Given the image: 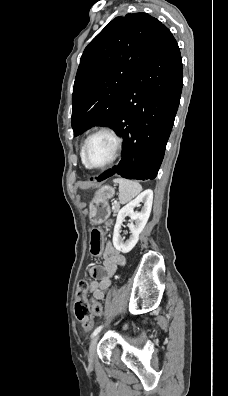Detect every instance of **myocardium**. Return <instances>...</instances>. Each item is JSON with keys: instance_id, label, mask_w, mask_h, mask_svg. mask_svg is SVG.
Segmentation results:
<instances>
[{"instance_id": "obj_1", "label": "myocardium", "mask_w": 228, "mask_h": 396, "mask_svg": "<svg viewBox=\"0 0 228 396\" xmlns=\"http://www.w3.org/2000/svg\"><path fill=\"white\" fill-rule=\"evenodd\" d=\"M99 134H107L113 139V141H114L113 153H112V156L110 157V159L107 162H105L104 164L91 165L87 159V148H88L90 140L94 136L99 135ZM121 147H122V139L114 129H112L111 127H108V126L99 127L96 130H94L93 132H91L86 137V139L84 141L83 149H82L83 162L88 169H92V170L105 169V168L111 166L116 161V159L118 158V156L120 154Z\"/></svg>"}]
</instances>
